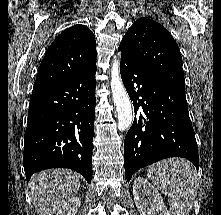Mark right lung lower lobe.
Listing matches in <instances>:
<instances>
[{
    "instance_id": "1",
    "label": "right lung lower lobe",
    "mask_w": 221,
    "mask_h": 215,
    "mask_svg": "<svg viewBox=\"0 0 221 215\" xmlns=\"http://www.w3.org/2000/svg\"><path fill=\"white\" fill-rule=\"evenodd\" d=\"M96 62L57 84L33 90L24 136L27 181L48 168H69L92 178Z\"/></svg>"
}]
</instances>
